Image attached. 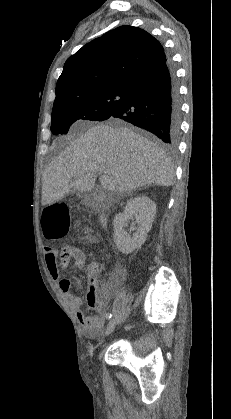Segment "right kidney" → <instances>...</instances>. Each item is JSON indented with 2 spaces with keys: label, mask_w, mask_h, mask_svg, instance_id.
Returning a JSON list of instances; mask_svg holds the SVG:
<instances>
[{
  "label": "right kidney",
  "mask_w": 231,
  "mask_h": 419,
  "mask_svg": "<svg viewBox=\"0 0 231 419\" xmlns=\"http://www.w3.org/2000/svg\"><path fill=\"white\" fill-rule=\"evenodd\" d=\"M155 215L156 205L145 195L137 196L127 202L124 211L117 214L113 220V239L120 252L129 254L144 244ZM133 218H135L138 227H135V223H132L130 232H135L131 236L124 230V227Z\"/></svg>",
  "instance_id": "obj_1"
}]
</instances>
